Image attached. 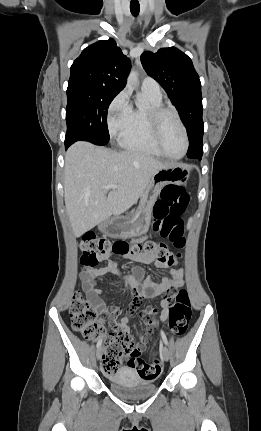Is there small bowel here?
<instances>
[{
	"mask_svg": "<svg viewBox=\"0 0 261 431\" xmlns=\"http://www.w3.org/2000/svg\"><path fill=\"white\" fill-rule=\"evenodd\" d=\"M131 257L144 263H153L156 267L166 269L169 273L168 276L157 281L150 276H145L141 268L135 267L132 269L131 274L125 277L127 285L137 290L131 300L133 304L131 306L133 314L144 315L142 318L138 319L132 317V320H136L137 327L146 328L145 338L138 343L135 348L140 352L145 348L146 341L153 332V323L151 319L147 318L145 315H151L157 312V306L154 303H151L148 308H140V303H147L149 301L155 302L158 296L165 294L167 291L180 288L184 283V272L182 269L173 268V264L158 261L152 255ZM105 258L108 259V256ZM106 274H116L120 276V272L111 259L108 260V265L106 267L99 269L84 268L81 272L82 289L96 313L102 314L105 319L109 318L110 324L114 329H120L123 333L129 335L130 326L128 319L122 318L118 320L121 310L119 308L109 309L103 300L104 293L97 287V279ZM160 306V319L161 321H166L169 315L168 304L162 300ZM127 316H130V313H127Z\"/></svg>",
	"mask_w": 261,
	"mask_h": 431,
	"instance_id": "small-bowel-1",
	"label": "small bowel"
}]
</instances>
